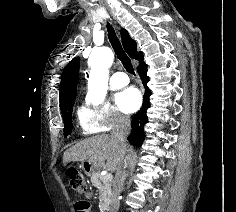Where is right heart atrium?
<instances>
[{
  "instance_id": "obj_1",
  "label": "right heart atrium",
  "mask_w": 236,
  "mask_h": 212,
  "mask_svg": "<svg viewBox=\"0 0 236 212\" xmlns=\"http://www.w3.org/2000/svg\"><path fill=\"white\" fill-rule=\"evenodd\" d=\"M78 118L84 134L107 132L128 121V118L109 101L98 107L82 106Z\"/></svg>"
}]
</instances>
